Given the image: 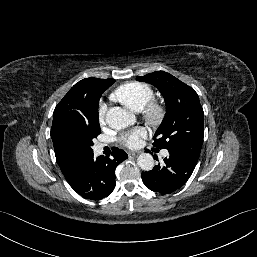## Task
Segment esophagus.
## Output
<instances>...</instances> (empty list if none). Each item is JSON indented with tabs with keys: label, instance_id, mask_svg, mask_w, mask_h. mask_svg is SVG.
Here are the masks:
<instances>
[{
	"label": "esophagus",
	"instance_id": "obj_1",
	"mask_svg": "<svg viewBox=\"0 0 257 257\" xmlns=\"http://www.w3.org/2000/svg\"><path fill=\"white\" fill-rule=\"evenodd\" d=\"M140 153H141V152H139V151H131V152H129L128 154H129L130 156L137 157V156L140 155Z\"/></svg>",
	"mask_w": 257,
	"mask_h": 257
}]
</instances>
